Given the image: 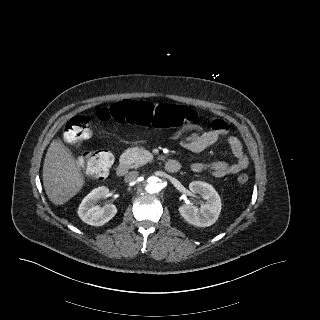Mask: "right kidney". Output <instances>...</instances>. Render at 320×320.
Returning a JSON list of instances; mask_svg holds the SVG:
<instances>
[{"mask_svg": "<svg viewBox=\"0 0 320 320\" xmlns=\"http://www.w3.org/2000/svg\"><path fill=\"white\" fill-rule=\"evenodd\" d=\"M109 189L101 186L92 190L82 200L78 215L81 220L92 226H102L109 222L117 213V208L113 204H106L103 207L96 205L97 201L107 197Z\"/></svg>", "mask_w": 320, "mask_h": 320, "instance_id": "obj_1", "label": "right kidney"}]
</instances>
